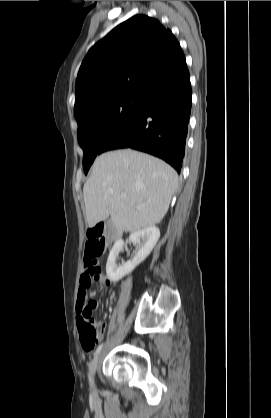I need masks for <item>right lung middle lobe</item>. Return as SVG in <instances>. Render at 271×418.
I'll return each mask as SVG.
<instances>
[{"label":"right lung middle lobe","mask_w":271,"mask_h":418,"mask_svg":"<svg viewBox=\"0 0 271 418\" xmlns=\"http://www.w3.org/2000/svg\"><path fill=\"white\" fill-rule=\"evenodd\" d=\"M148 100L137 94H121L75 115L85 174L109 134L140 110Z\"/></svg>","instance_id":"1"}]
</instances>
